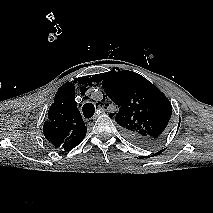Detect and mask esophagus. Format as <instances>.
Returning a JSON list of instances; mask_svg holds the SVG:
<instances>
[{"label": "esophagus", "instance_id": "obj_1", "mask_svg": "<svg viewBox=\"0 0 213 213\" xmlns=\"http://www.w3.org/2000/svg\"><path fill=\"white\" fill-rule=\"evenodd\" d=\"M98 111L101 112V113H104V112H106V109L104 108V106L99 105V106H98ZM96 118H97V115H95V116H94L93 118H91L90 120H91V121H94Z\"/></svg>", "mask_w": 213, "mask_h": 213}]
</instances>
